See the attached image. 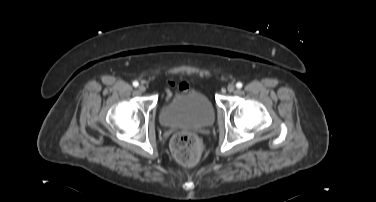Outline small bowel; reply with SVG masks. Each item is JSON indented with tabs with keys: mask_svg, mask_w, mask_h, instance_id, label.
<instances>
[{
	"mask_svg": "<svg viewBox=\"0 0 376 202\" xmlns=\"http://www.w3.org/2000/svg\"><path fill=\"white\" fill-rule=\"evenodd\" d=\"M176 86L175 82L168 81L167 88L165 89V100L169 101L172 97V88ZM177 87L182 92H187L189 89V83L186 81H181L177 84Z\"/></svg>",
	"mask_w": 376,
	"mask_h": 202,
	"instance_id": "small-bowel-1",
	"label": "small bowel"
}]
</instances>
